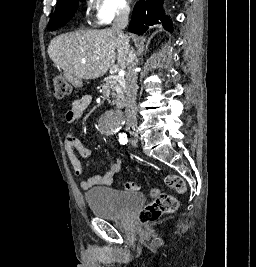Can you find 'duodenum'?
Listing matches in <instances>:
<instances>
[{"label": "duodenum", "instance_id": "410a0bca", "mask_svg": "<svg viewBox=\"0 0 256 267\" xmlns=\"http://www.w3.org/2000/svg\"><path fill=\"white\" fill-rule=\"evenodd\" d=\"M65 79L70 82L72 86H77V88H84L83 81H80V77H74V74H65ZM117 107L120 110H125L126 102L124 99H117Z\"/></svg>", "mask_w": 256, "mask_h": 267}]
</instances>
